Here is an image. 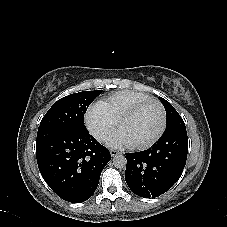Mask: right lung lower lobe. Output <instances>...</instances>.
<instances>
[{"label":"right lung lower lobe","mask_w":227,"mask_h":227,"mask_svg":"<svg viewBox=\"0 0 227 227\" xmlns=\"http://www.w3.org/2000/svg\"><path fill=\"white\" fill-rule=\"evenodd\" d=\"M36 158L48 186L65 201L81 203L95 192L111 155L86 127H39Z\"/></svg>","instance_id":"obj_1"}]
</instances>
